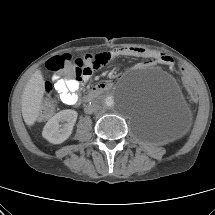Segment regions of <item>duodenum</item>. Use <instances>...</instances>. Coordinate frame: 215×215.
Masks as SVG:
<instances>
[{
    "label": "duodenum",
    "mask_w": 215,
    "mask_h": 215,
    "mask_svg": "<svg viewBox=\"0 0 215 215\" xmlns=\"http://www.w3.org/2000/svg\"><path fill=\"white\" fill-rule=\"evenodd\" d=\"M112 88V84L110 82H100L97 85H95L93 88H91L83 97V101L85 103L91 102L94 100L97 96L101 95L102 93H105L109 91Z\"/></svg>",
    "instance_id": "1"
}]
</instances>
